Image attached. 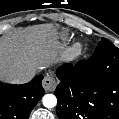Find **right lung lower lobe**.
<instances>
[{
    "mask_svg": "<svg viewBox=\"0 0 119 119\" xmlns=\"http://www.w3.org/2000/svg\"><path fill=\"white\" fill-rule=\"evenodd\" d=\"M42 75L26 84L0 82V119H29V115L44 95Z\"/></svg>",
    "mask_w": 119,
    "mask_h": 119,
    "instance_id": "98d812e1",
    "label": "right lung lower lobe"
}]
</instances>
